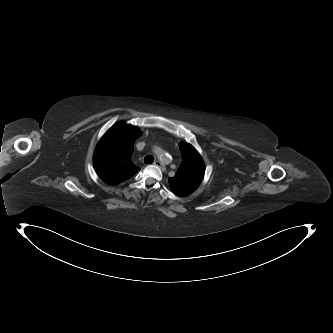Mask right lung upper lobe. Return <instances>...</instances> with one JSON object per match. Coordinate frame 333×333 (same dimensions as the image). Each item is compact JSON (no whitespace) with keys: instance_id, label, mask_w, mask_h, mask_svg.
<instances>
[{"instance_id":"obj_1","label":"right lung upper lobe","mask_w":333,"mask_h":333,"mask_svg":"<svg viewBox=\"0 0 333 333\" xmlns=\"http://www.w3.org/2000/svg\"><path fill=\"white\" fill-rule=\"evenodd\" d=\"M141 131L130 124H114L96 146L93 165L100 179L118 185L133 177L140 169L132 161L134 143Z\"/></svg>"}]
</instances>
